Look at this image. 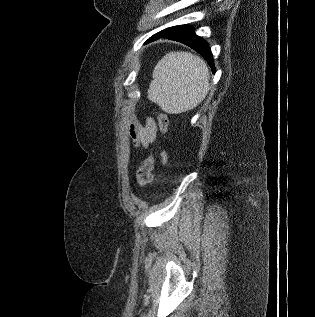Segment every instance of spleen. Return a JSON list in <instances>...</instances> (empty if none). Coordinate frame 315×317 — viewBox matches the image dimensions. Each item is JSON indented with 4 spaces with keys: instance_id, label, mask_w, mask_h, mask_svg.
Listing matches in <instances>:
<instances>
[{
    "instance_id": "spleen-1",
    "label": "spleen",
    "mask_w": 315,
    "mask_h": 317,
    "mask_svg": "<svg viewBox=\"0 0 315 317\" xmlns=\"http://www.w3.org/2000/svg\"><path fill=\"white\" fill-rule=\"evenodd\" d=\"M209 90V71L200 57L169 52L156 65L148 97L163 111L179 114L199 105Z\"/></svg>"
}]
</instances>
